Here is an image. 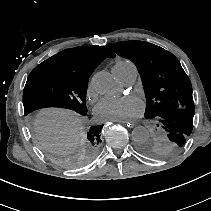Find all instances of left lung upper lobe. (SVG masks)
I'll list each match as a JSON object with an SVG mask.
<instances>
[{"mask_svg": "<svg viewBox=\"0 0 211 211\" xmlns=\"http://www.w3.org/2000/svg\"><path fill=\"white\" fill-rule=\"evenodd\" d=\"M107 48L130 59L137 67L146 95L145 118L157 131L138 148L151 158L177 154L193 128L194 101L191 82L178 59L154 44L131 40Z\"/></svg>", "mask_w": 211, "mask_h": 211, "instance_id": "obj_1", "label": "left lung upper lobe"}]
</instances>
